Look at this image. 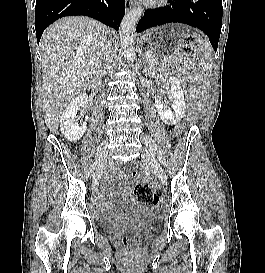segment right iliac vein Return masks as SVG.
<instances>
[{
	"instance_id": "right-iliac-vein-1",
	"label": "right iliac vein",
	"mask_w": 265,
	"mask_h": 273,
	"mask_svg": "<svg viewBox=\"0 0 265 273\" xmlns=\"http://www.w3.org/2000/svg\"><path fill=\"white\" fill-rule=\"evenodd\" d=\"M107 146L108 141L105 140L101 143L96 152V170L94 173V181L92 185L93 189L99 184L102 175L103 165L106 162L107 158Z\"/></svg>"
}]
</instances>
